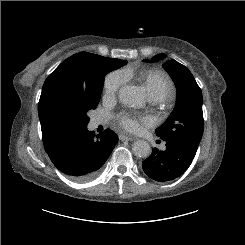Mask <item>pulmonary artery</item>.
<instances>
[{
  "mask_svg": "<svg viewBox=\"0 0 245 245\" xmlns=\"http://www.w3.org/2000/svg\"><path fill=\"white\" fill-rule=\"evenodd\" d=\"M101 121L100 120H96V123H100Z\"/></svg>",
  "mask_w": 245,
  "mask_h": 245,
  "instance_id": "1",
  "label": "pulmonary artery"
}]
</instances>
